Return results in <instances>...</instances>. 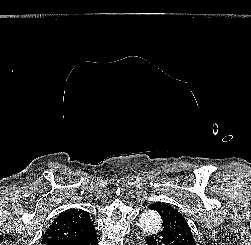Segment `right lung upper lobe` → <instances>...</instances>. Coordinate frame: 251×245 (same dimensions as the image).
Instances as JSON below:
<instances>
[{
  "instance_id": "1",
  "label": "right lung upper lobe",
  "mask_w": 251,
  "mask_h": 245,
  "mask_svg": "<svg viewBox=\"0 0 251 245\" xmlns=\"http://www.w3.org/2000/svg\"><path fill=\"white\" fill-rule=\"evenodd\" d=\"M95 231L90 216L84 210L68 209L62 212L49 226L43 235L42 243L78 239L90 235Z\"/></svg>"
}]
</instances>
